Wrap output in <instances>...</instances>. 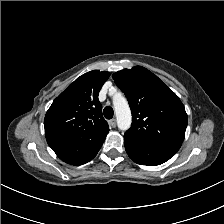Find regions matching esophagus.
Listing matches in <instances>:
<instances>
[{
  "label": "esophagus",
  "instance_id": "esophagus-1",
  "mask_svg": "<svg viewBox=\"0 0 224 224\" xmlns=\"http://www.w3.org/2000/svg\"><path fill=\"white\" fill-rule=\"evenodd\" d=\"M109 124H110V126L113 127V128L116 127V119L113 118V119L109 120Z\"/></svg>",
  "mask_w": 224,
  "mask_h": 224
}]
</instances>
